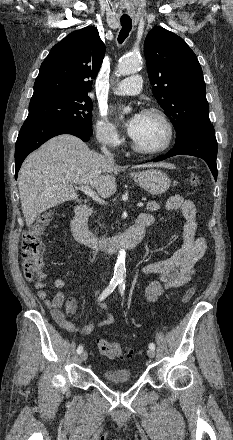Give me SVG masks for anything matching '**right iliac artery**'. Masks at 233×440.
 Segmentation results:
<instances>
[{"mask_svg": "<svg viewBox=\"0 0 233 440\" xmlns=\"http://www.w3.org/2000/svg\"><path fill=\"white\" fill-rule=\"evenodd\" d=\"M118 283H120L119 280H117V279H112V280L110 281L109 285H108V286L105 288V290L101 293V295L99 296L98 299H99L100 301H101V300H104L107 296H109V295L114 291V289L116 288V286L118 285ZM82 351H83V346L80 345V346L77 348V353L80 354Z\"/></svg>", "mask_w": 233, "mask_h": 440, "instance_id": "82829eb1", "label": "right iliac artery"}]
</instances>
